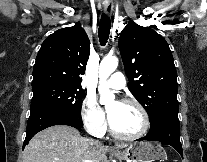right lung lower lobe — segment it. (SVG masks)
<instances>
[{
	"label": "right lung lower lobe",
	"instance_id": "98d812e1",
	"mask_svg": "<svg viewBox=\"0 0 207 162\" xmlns=\"http://www.w3.org/2000/svg\"><path fill=\"white\" fill-rule=\"evenodd\" d=\"M54 125H68L80 129L83 123L80 117L59 108L38 107L33 109L28 119L23 148L36 133Z\"/></svg>",
	"mask_w": 207,
	"mask_h": 162
}]
</instances>
